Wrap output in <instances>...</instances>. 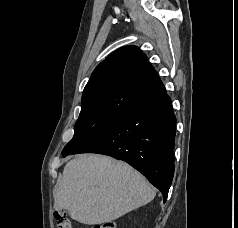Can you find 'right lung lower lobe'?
Segmentation results:
<instances>
[{
    "label": "right lung lower lobe",
    "instance_id": "1",
    "mask_svg": "<svg viewBox=\"0 0 238 228\" xmlns=\"http://www.w3.org/2000/svg\"><path fill=\"white\" fill-rule=\"evenodd\" d=\"M175 132L171 99L164 93L123 113L69 154L98 153L126 161L161 191L165 202L174 174Z\"/></svg>",
    "mask_w": 238,
    "mask_h": 228
}]
</instances>
